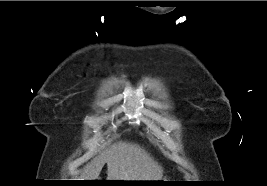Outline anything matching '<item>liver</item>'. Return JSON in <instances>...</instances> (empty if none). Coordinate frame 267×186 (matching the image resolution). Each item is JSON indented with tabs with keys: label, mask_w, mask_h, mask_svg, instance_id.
I'll use <instances>...</instances> for the list:
<instances>
[{
	"label": "liver",
	"mask_w": 267,
	"mask_h": 186,
	"mask_svg": "<svg viewBox=\"0 0 267 186\" xmlns=\"http://www.w3.org/2000/svg\"><path fill=\"white\" fill-rule=\"evenodd\" d=\"M105 163L107 180L158 181L163 177V168L144 149L126 142L113 144L100 152L85 166L81 177L96 180Z\"/></svg>",
	"instance_id": "liver-1"
}]
</instances>
